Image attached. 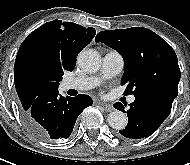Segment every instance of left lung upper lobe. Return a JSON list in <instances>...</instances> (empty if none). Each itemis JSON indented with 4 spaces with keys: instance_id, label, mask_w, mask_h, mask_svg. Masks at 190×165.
I'll use <instances>...</instances> for the list:
<instances>
[{
    "instance_id": "obj_1",
    "label": "left lung upper lobe",
    "mask_w": 190,
    "mask_h": 165,
    "mask_svg": "<svg viewBox=\"0 0 190 165\" xmlns=\"http://www.w3.org/2000/svg\"><path fill=\"white\" fill-rule=\"evenodd\" d=\"M96 42L113 48L124 59L121 84L134 96L178 94L180 69L173 48L153 31L143 27L99 32Z\"/></svg>"
}]
</instances>
